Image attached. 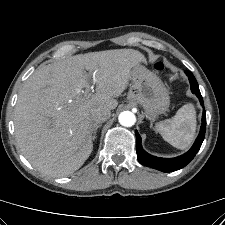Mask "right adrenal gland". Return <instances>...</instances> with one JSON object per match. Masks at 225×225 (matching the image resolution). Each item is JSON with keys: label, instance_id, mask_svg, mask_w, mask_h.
Wrapping results in <instances>:
<instances>
[{"label": "right adrenal gland", "instance_id": "1", "mask_svg": "<svg viewBox=\"0 0 225 225\" xmlns=\"http://www.w3.org/2000/svg\"><path fill=\"white\" fill-rule=\"evenodd\" d=\"M101 127V124H96L94 125L93 127V135H92V140L94 141L97 137H96V133H97V130L98 128Z\"/></svg>", "mask_w": 225, "mask_h": 225}]
</instances>
